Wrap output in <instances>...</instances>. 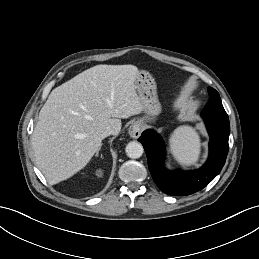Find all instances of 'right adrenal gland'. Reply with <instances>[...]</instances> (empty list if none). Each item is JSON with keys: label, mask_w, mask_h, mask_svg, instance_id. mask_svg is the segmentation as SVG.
<instances>
[{"label": "right adrenal gland", "mask_w": 259, "mask_h": 259, "mask_svg": "<svg viewBox=\"0 0 259 259\" xmlns=\"http://www.w3.org/2000/svg\"><path fill=\"white\" fill-rule=\"evenodd\" d=\"M99 150L97 151L96 155H98ZM102 156V155H101Z\"/></svg>", "instance_id": "2a0ac1e0"}]
</instances>
